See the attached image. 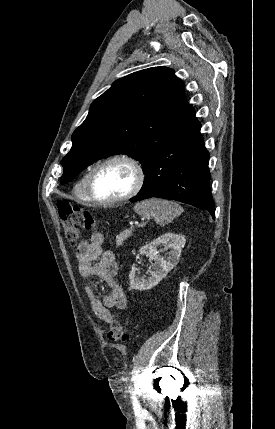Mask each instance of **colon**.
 <instances>
[{
    "instance_id": "1",
    "label": "colon",
    "mask_w": 275,
    "mask_h": 429,
    "mask_svg": "<svg viewBox=\"0 0 275 429\" xmlns=\"http://www.w3.org/2000/svg\"><path fill=\"white\" fill-rule=\"evenodd\" d=\"M58 216L68 242L77 245L82 229L90 230L95 227V220L91 213L81 207L74 206L68 201L57 203ZM112 343H123L129 338L128 332L119 319H113L107 334Z\"/></svg>"
}]
</instances>
